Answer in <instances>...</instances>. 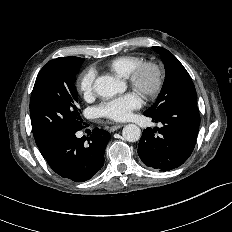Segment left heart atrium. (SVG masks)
<instances>
[{"instance_id":"1","label":"left heart atrium","mask_w":232,"mask_h":232,"mask_svg":"<svg viewBox=\"0 0 232 232\" xmlns=\"http://www.w3.org/2000/svg\"><path fill=\"white\" fill-rule=\"evenodd\" d=\"M142 106V99L137 93H128L100 104L97 112L114 121L127 120L132 111Z\"/></svg>"}]
</instances>
